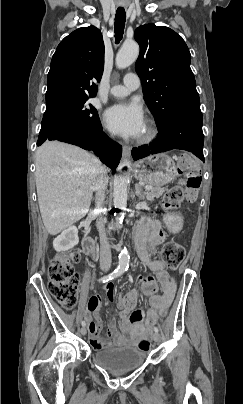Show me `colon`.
<instances>
[{
    "instance_id": "obj_1",
    "label": "colon",
    "mask_w": 243,
    "mask_h": 404,
    "mask_svg": "<svg viewBox=\"0 0 243 404\" xmlns=\"http://www.w3.org/2000/svg\"><path fill=\"white\" fill-rule=\"evenodd\" d=\"M178 172L184 175L185 179L165 193L163 205L168 210L178 209L184 198L194 201L201 184V175L192 156L183 154L179 158ZM184 258L185 249L180 244L169 242L163 247L162 260L166 264L177 267ZM79 261L80 253L71 251L66 254L56 255L48 267V290L66 309H72L76 304L79 276L75 271V265ZM156 289L155 280L152 277L145 278L140 289L128 292L119 301V308L123 316L129 317L136 310L140 294H153ZM104 344L108 346V342H104ZM139 347L144 351L149 350L150 341L147 338H142L139 341Z\"/></svg>"
}]
</instances>
